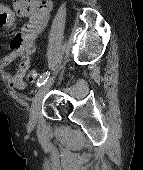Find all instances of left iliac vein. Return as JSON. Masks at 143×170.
Segmentation results:
<instances>
[{"label":"left iliac vein","mask_w":143,"mask_h":170,"mask_svg":"<svg viewBox=\"0 0 143 170\" xmlns=\"http://www.w3.org/2000/svg\"><path fill=\"white\" fill-rule=\"evenodd\" d=\"M54 82V78L49 79L46 81L43 85L39 87L37 90V93L35 94V97L32 101L31 109H30V124L34 125L36 124L39 116V112L41 109V104L44 96L49 91L50 87L52 86Z\"/></svg>","instance_id":"obj_1"}]
</instances>
